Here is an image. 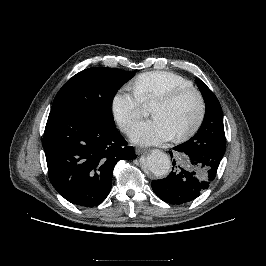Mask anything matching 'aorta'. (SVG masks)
Instances as JSON below:
<instances>
[{
	"label": "aorta",
	"mask_w": 266,
	"mask_h": 266,
	"mask_svg": "<svg viewBox=\"0 0 266 266\" xmlns=\"http://www.w3.org/2000/svg\"><path fill=\"white\" fill-rule=\"evenodd\" d=\"M147 168L155 176H164L168 173L171 161L167 154L161 150L154 149L147 157L145 162Z\"/></svg>",
	"instance_id": "obj_1"
}]
</instances>
